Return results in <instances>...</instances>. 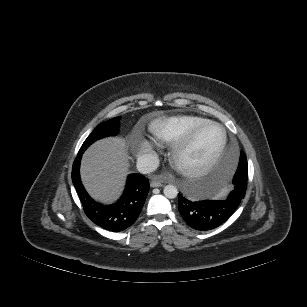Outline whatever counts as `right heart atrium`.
Wrapping results in <instances>:
<instances>
[{
    "instance_id": "d8ad5b80",
    "label": "right heart atrium",
    "mask_w": 307,
    "mask_h": 307,
    "mask_svg": "<svg viewBox=\"0 0 307 307\" xmlns=\"http://www.w3.org/2000/svg\"><path fill=\"white\" fill-rule=\"evenodd\" d=\"M158 145L150 139H140L137 158L145 169L152 168L157 160Z\"/></svg>"
}]
</instances>
